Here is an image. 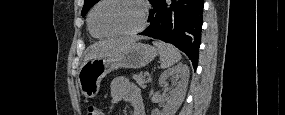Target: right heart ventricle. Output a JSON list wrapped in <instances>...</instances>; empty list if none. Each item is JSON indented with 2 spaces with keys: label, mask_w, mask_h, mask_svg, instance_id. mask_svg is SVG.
<instances>
[{
  "label": "right heart ventricle",
  "mask_w": 285,
  "mask_h": 115,
  "mask_svg": "<svg viewBox=\"0 0 285 115\" xmlns=\"http://www.w3.org/2000/svg\"><path fill=\"white\" fill-rule=\"evenodd\" d=\"M89 32L94 38H97V39L105 38V37L98 36V35L94 34L93 32H91L90 28H89Z\"/></svg>",
  "instance_id": "obj_1"
}]
</instances>
